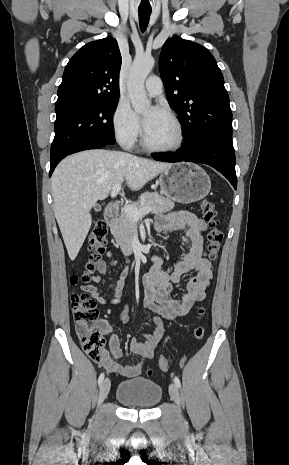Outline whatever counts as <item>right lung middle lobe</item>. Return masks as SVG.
<instances>
[{
  "mask_svg": "<svg viewBox=\"0 0 289 465\" xmlns=\"http://www.w3.org/2000/svg\"><path fill=\"white\" fill-rule=\"evenodd\" d=\"M117 99L76 102L55 107V137L50 161L89 141L115 143L112 115Z\"/></svg>",
  "mask_w": 289,
  "mask_h": 465,
  "instance_id": "obj_1",
  "label": "right lung middle lobe"
}]
</instances>
